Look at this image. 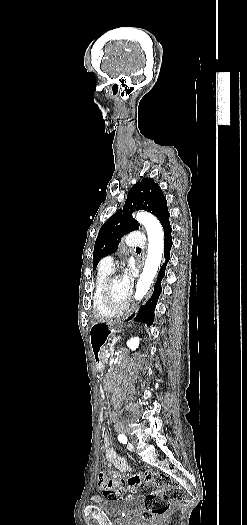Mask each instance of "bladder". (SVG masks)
<instances>
[{
	"instance_id": "obj_1",
	"label": "bladder",
	"mask_w": 247,
	"mask_h": 525,
	"mask_svg": "<svg viewBox=\"0 0 247 525\" xmlns=\"http://www.w3.org/2000/svg\"><path fill=\"white\" fill-rule=\"evenodd\" d=\"M93 502L94 506L100 508L107 516L113 518H122L142 507V503L137 495L118 498H102L97 496L93 498Z\"/></svg>"
}]
</instances>
